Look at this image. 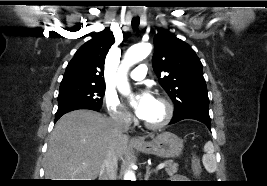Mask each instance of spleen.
<instances>
[{"label": "spleen", "mask_w": 267, "mask_h": 186, "mask_svg": "<svg viewBox=\"0 0 267 186\" xmlns=\"http://www.w3.org/2000/svg\"><path fill=\"white\" fill-rule=\"evenodd\" d=\"M204 156L202 158L203 165L208 172H214L216 170V160L214 155V146L211 141H208L204 145Z\"/></svg>", "instance_id": "spleen-1"}]
</instances>
